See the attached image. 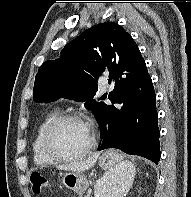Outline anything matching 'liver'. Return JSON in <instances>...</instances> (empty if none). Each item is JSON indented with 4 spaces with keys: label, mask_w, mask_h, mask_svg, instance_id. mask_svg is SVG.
<instances>
[{
    "label": "liver",
    "mask_w": 191,
    "mask_h": 197,
    "mask_svg": "<svg viewBox=\"0 0 191 197\" xmlns=\"http://www.w3.org/2000/svg\"><path fill=\"white\" fill-rule=\"evenodd\" d=\"M99 153L93 154L91 157H89L86 160L80 161V162H74L68 165L58 166L57 168L60 170H69V171H75V172H83L85 170L90 169L94 164L96 163Z\"/></svg>",
    "instance_id": "liver-1"
}]
</instances>
